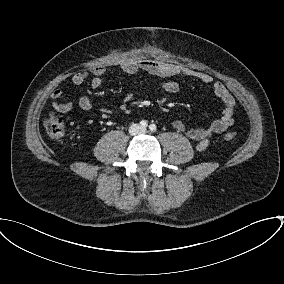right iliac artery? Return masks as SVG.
I'll list each match as a JSON object with an SVG mask.
<instances>
[{"label":"right iliac artery","mask_w":284,"mask_h":284,"mask_svg":"<svg viewBox=\"0 0 284 284\" xmlns=\"http://www.w3.org/2000/svg\"><path fill=\"white\" fill-rule=\"evenodd\" d=\"M140 125H141V127L146 128V127L148 126V123H147L146 120H142V121L140 122Z\"/></svg>","instance_id":"right-iliac-artery-1"}]
</instances>
